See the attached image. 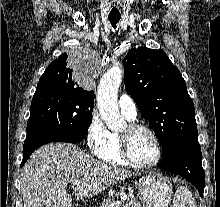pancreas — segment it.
<instances>
[{"mask_svg": "<svg viewBox=\"0 0 220 207\" xmlns=\"http://www.w3.org/2000/svg\"><path fill=\"white\" fill-rule=\"evenodd\" d=\"M113 202H116L115 200L112 199H107L99 207H109V205ZM122 207H141L140 203L137 202L136 200H128L125 204H123Z\"/></svg>", "mask_w": 220, "mask_h": 207, "instance_id": "pancreas-1", "label": "pancreas"}]
</instances>
